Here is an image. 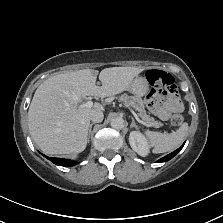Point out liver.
I'll use <instances>...</instances> for the list:
<instances>
[{"instance_id":"liver-1","label":"liver","mask_w":223,"mask_h":223,"mask_svg":"<svg viewBox=\"0 0 223 223\" xmlns=\"http://www.w3.org/2000/svg\"><path fill=\"white\" fill-rule=\"evenodd\" d=\"M137 67H113L101 71L83 69L47 79L36 90L28 123L39 148L47 154L82 152L87 145L91 108H77L85 95L113 96L128 89L132 79L143 71Z\"/></svg>"}]
</instances>
